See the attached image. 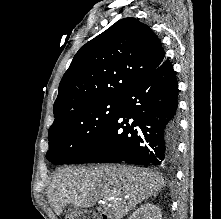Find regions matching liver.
Returning <instances> with one entry per match:
<instances>
[{
  "label": "liver",
  "mask_w": 221,
  "mask_h": 219,
  "mask_svg": "<svg viewBox=\"0 0 221 219\" xmlns=\"http://www.w3.org/2000/svg\"><path fill=\"white\" fill-rule=\"evenodd\" d=\"M164 186L157 173L133 166H71L54 173L48 198L57 215L67 205L89 208L102 200L111 219H122Z\"/></svg>",
  "instance_id": "liver-1"
}]
</instances>
